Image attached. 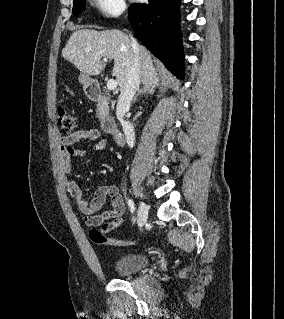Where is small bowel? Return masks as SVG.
Wrapping results in <instances>:
<instances>
[{
    "label": "small bowel",
    "instance_id": "small-bowel-1",
    "mask_svg": "<svg viewBox=\"0 0 284 319\" xmlns=\"http://www.w3.org/2000/svg\"><path fill=\"white\" fill-rule=\"evenodd\" d=\"M81 140L94 142L91 151L101 152L106 147V141L96 128L79 130L60 138V152L63 170L66 174L72 171V159L84 157L87 150L78 149L75 144ZM67 188L76 201L77 208L84 216L89 227H100L102 234H107L119 228L125 212V204L117 187L102 185L95 191L93 198L88 201L80 186L73 180L67 181ZM108 200V201H107Z\"/></svg>",
    "mask_w": 284,
    "mask_h": 319
}]
</instances>
